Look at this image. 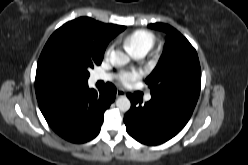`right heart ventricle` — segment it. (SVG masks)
I'll use <instances>...</instances> for the list:
<instances>
[{"mask_svg":"<svg viewBox=\"0 0 248 165\" xmlns=\"http://www.w3.org/2000/svg\"><path fill=\"white\" fill-rule=\"evenodd\" d=\"M155 35L147 30H136L124 39L125 45L134 53L145 51L146 53L155 43Z\"/></svg>","mask_w":248,"mask_h":165,"instance_id":"obj_1","label":"right heart ventricle"}]
</instances>
